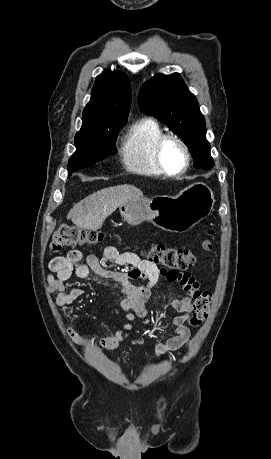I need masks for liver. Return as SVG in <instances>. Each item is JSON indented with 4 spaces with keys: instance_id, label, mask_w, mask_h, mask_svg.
Masks as SVG:
<instances>
[{
    "instance_id": "obj_1",
    "label": "liver",
    "mask_w": 271,
    "mask_h": 459,
    "mask_svg": "<svg viewBox=\"0 0 271 459\" xmlns=\"http://www.w3.org/2000/svg\"><path fill=\"white\" fill-rule=\"evenodd\" d=\"M142 196L141 190L135 186H114V188H104L95 194H91L79 204H75L70 210L67 220H72L75 226L83 229H100L102 224L110 214H113L119 206L135 198Z\"/></svg>"
}]
</instances>
